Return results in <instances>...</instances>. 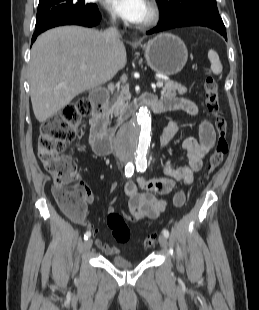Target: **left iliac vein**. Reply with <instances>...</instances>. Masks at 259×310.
<instances>
[{
    "label": "left iliac vein",
    "mask_w": 259,
    "mask_h": 310,
    "mask_svg": "<svg viewBox=\"0 0 259 310\" xmlns=\"http://www.w3.org/2000/svg\"><path fill=\"white\" fill-rule=\"evenodd\" d=\"M159 244L163 249H167L168 247V240L164 235L159 236Z\"/></svg>",
    "instance_id": "4c4485c4"
}]
</instances>
